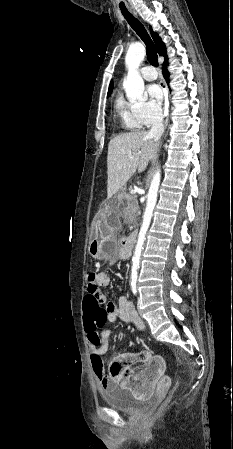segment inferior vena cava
Returning <instances> with one entry per match:
<instances>
[{
  "label": "inferior vena cava",
  "instance_id": "inferior-vena-cava-1",
  "mask_svg": "<svg viewBox=\"0 0 233 449\" xmlns=\"http://www.w3.org/2000/svg\"><path fill=\"white\" fill-rule=\"evenodd\" d=\"M164 132L163 114L161 110H156L153 115L152 127L148 132L155 142L159 141Z\"/></svg>",
  "mask_w": 233,
  "mask_h": 449
}]
</instances>
